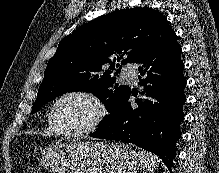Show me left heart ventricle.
I'll return each instance as SVG.
<instances>
[{
    "label": "left heart ventricle",
    "instance_id": "left-heart-ventricle-1",
    "mask_svg": "<svg viewBox=\"0 0 219 173\" xmlns=\"http://www.w3.org/2000/svg\"><path fill=\"white\" fill-rule=\"evenodd\" d=\"M94 115V106L85 98L78 96L65 98L55 110L56 122L65 131L82 128L91 121Z\"/></svg>",
    "mask_w": 219,
    "mask_h": 173
}]
</instances>
